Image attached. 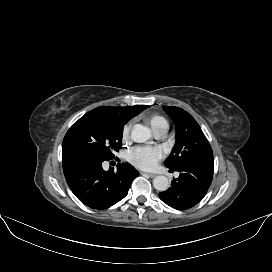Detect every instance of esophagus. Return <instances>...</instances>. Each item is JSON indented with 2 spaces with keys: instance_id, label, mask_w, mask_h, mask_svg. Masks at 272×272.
Masks as SVG:
<instances>
[{
  "instance_id": "34e87169",
  "label": "esophagus",
  "mask_w": 272,
  "mask_h": 272,
  "mask_svg": "<svg viewBox=\"0 0 272 272\" xmlns=\"http://www.w3.org/2000/svg\"><path fill=\"white\" fill-rule=\"evenodd\" d=\"M143 174L150 178H154L156 176L155 174H152V173H143Z\"/></svg>"
}]
</instances>
